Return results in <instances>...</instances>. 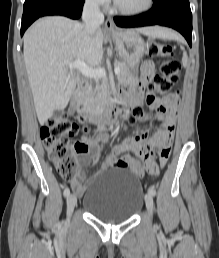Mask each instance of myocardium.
Instances as JSON below:
<instances>
[{
	"label": "myocardium",
	"instance_id": "obj_1",
	"mask_svg": "<svg viewBox=\"0 0 219 258\" xmlns=\"http://www.w3.org/2000/svg\"><path fill=\"white\" fill-rule=\"evenodd\" d=\"M154 4V0H147L145 5L140 7V8H137V9H126V8H123L121 7L117 2L116 0H114V10L122 15H125V16H136V15H141L147 11H149L152 6Z\"/></svg>",
	"mask_w": 219,
	"mask_h": 258
}]
</instances>
